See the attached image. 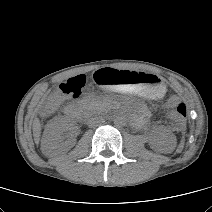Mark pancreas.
<instances>
[{
    "mask_svg": "<svg viewBox=\"0 0 212 212\" xmlns=\"http://www.w3.org/2000/svg\"><path fill=\"white\" fill-rule=\"evenodd\" d=\"M82 104L87 111H92L101 106V101L95 97H87L82 100Z\"/></svg>",
    "mask_w": 212,
    "mask_h": 212,
    "instance_id": "cf45deb5",
    "label": "pancreas"
}]
</instances>
